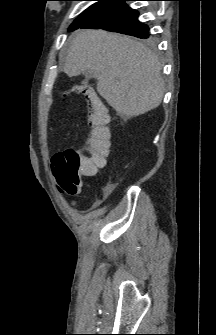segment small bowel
<instances>
[{
  "instance_id": "small-bowel-1",
  "label": "small bowel",
  "mask_w": 216,
  "mask_h": 335,
  "mask_svg": "<svg viewBox=\"0 0 216 335\" xmlns=\"http://www.w3.org/2000/svg\"><path fill=\"white\" fill-rule=\"evenodd\" d=\"M108 141V140H107ZM84 159H92V158H90V156H82V162H83V160ZM52 169H53V167H52ZM85 179V178H84ZM80 187H81V185H80Z\"/></svg>"
}]
</instances>
